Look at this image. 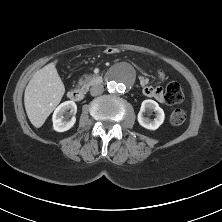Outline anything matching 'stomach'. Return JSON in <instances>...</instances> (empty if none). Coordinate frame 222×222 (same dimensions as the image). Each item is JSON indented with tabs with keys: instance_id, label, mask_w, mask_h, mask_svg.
Masks as SVG:
<instances>
[{
	"instance_id": "0dacf381",
	"label": "stomach",
	"mask_w": 222,
	"mask_h": 222,
	"mask_svg": "<svg viewBox=\"0 0 222 222\" xmlns=\"http://www.w3.org/2000/svg\"><path fill=\"white\" fill-rule=\"evenodd\" d=\"M107 53H115L116 52V49L115 48H112V47H108L107 50H106Z\"/></svg>"
}]
</instances>
